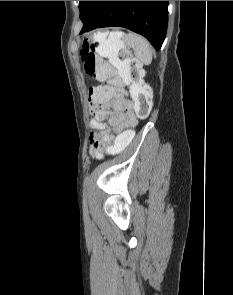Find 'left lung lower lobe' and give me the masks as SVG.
<instances>
[{"label":"left lung lower lobe","instance_id":"1","mask_svg":"<svg viewBox=\"0 0 233 295\" xmlns=\"http://www.w3.org/2000/svg\"><path fill=\"white\" fill-rule=\"evenodd\" d=\"M168 23V1H96L80 34L99 27H125L162 46Z\"/></svg>","mask_w":233,"mask_h":295}]
</instances>
